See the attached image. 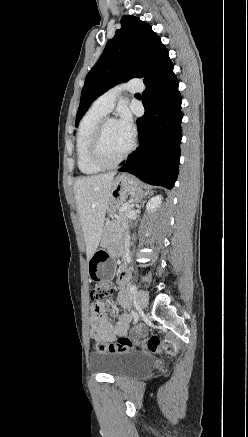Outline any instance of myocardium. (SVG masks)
Listing matches in <instances>:
<instances>
[{
  "label": "myocardium",
  "instance_id": "obj_1",
  "mask_svg": "<svg viewBox=\"0 0 248 437\" xmlns=\"http://www.w3.org/2000/svg\"><path fill=\"white\" fill-rule=\"evenodd\" d=\"M110 121H115V119L111 117H104L103 119H101L94 131L89 148L91 160L95 165L102 169H109L117 166L124 159H126V157L133 151L135 147V142L133 139H131L127 149L118 158L113 161H108L104 158L101 150L102 140L106 125Z\"/></svg>",
  "mask_w": 248,
  "mask_h": 437
}]
</instances>
